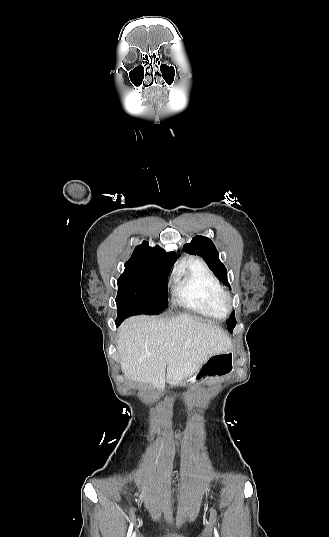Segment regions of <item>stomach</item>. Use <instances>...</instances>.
<instances>
[{
	"label": "stomach",
	"instance_id": "0dacf381",
	"mask_svg": "<svg viewBox=\"0 0 329 537\" xmlns=\"http://www.w3.org/2000/svg\"><path fill=\"white\" fill-rule=\"evenodd\" d=\"M234 371V352L229 350L211 356L200 369L182 384L194 385L212 378H223ZM175 385L176 383H170Z\"/></svg>",
	"mask_w": 329,
	"mask_h": 537
}]
</instances>
